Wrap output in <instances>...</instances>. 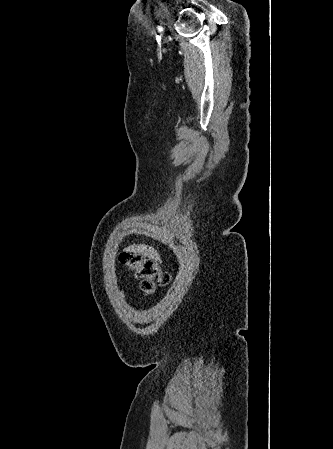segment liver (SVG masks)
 Instances as JSON below:
<instances>
[{
	"label": "liver",
	"mask_w": 333,
	"mask_h": 449,
	"mask_svg": "<svg viewBox=\"0 0 333 449\" xmlns=\"http://www.w3.org/2000/svg\"><path fill=\"white\" fill-rule=\"evenodd\" d=\"M126 251L129 252H134V253H138V254H143L144 256H148L149 258H155L157 260H159L161 262L160 256L157 253V251L154 250V248L151 247H147L146 245H131L128 246L126 249Z\"/></svg>",
	"instance_id": "obj_1"
}]
</instances>
